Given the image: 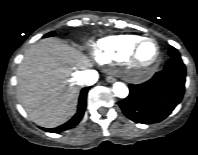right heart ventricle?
I'll use <instances>...</instances> for the list:
<instances>
[{
  "label": "right heart ventricle",
  "instance_id": "right-heart-ventricle-1",
  "mask_svg": "<svg viewBox=\"0 0 198 155\" xmlns=\"http://www.w3.org/2000/svg\"><path fill=\"white\" fill-rule=\"evenodd\" d=\"M141 38L137 35H115L102 38L96 43V57L101 62L122 61L130 55Z\"/></svg>",
  "mask_w": 198,
  "mask_h": 155
}]
</instances>
